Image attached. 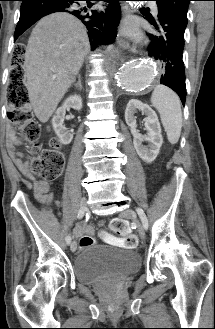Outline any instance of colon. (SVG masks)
<instances>
[{"label":"colon","mask_w":215,"mask_h":329,"mask_svg":"<svg viewBox=\"0 0 215 329\" xmlns=\"http://www.w3.org/2000/svg\"><path fill=\"white\" fill-rule=\"evenodd\" d=\"M16 54L12 56L11 68L12 78L8 86L7 100L10 108L9 119L13 126L20 131V138L31 146L30 171L32 174L45 180L57 179L64 167V157L57 149L58 141H52V147L41 148L38 144L40 126L33 119L29 110V94L23 81L24 50L17 47ZM112 231L123 237V245L126 248H134L137 245V238L129 235L128 223L120 218L111 221ZM94 243V238L84 235L80 239L81 247H86Z\"/></svg>","instance_id":"colon-1"}]
</instances>
